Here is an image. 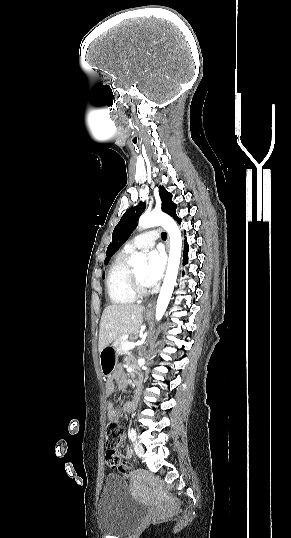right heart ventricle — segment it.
Here are the masks:
<instances>
[{
	"label": "right heart ventricle",
	"mask_w": 291,
	"mask_h": 538,
	"mask_svg": "<svg viewBox=\"0 0 291 538\" xmlns=\"http://www.w3.org/2000/svg\"><path fill=\"white\" fill-rule=\"evenodd\" d=\"M132 254L126 248L119 251L113 258L106 279L108 297L113 304H131L136 297L130 290L128 258Z\"/></svg>",
	"instance_id": "1"
}]
</instances>
